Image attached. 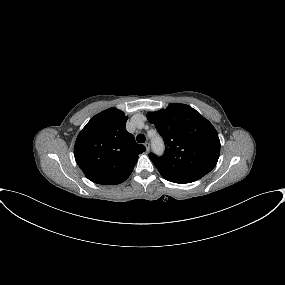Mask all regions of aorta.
I'll return each instance as SVG.
<instances>
[{
	"mask_svg": "<svg viewBox=\"0 0 285 285\" xmlns=\"http://www.w3.org/2000/svg\"><path fill=\"white\" fill-rule=\"evenodd\" d=\"M153 149L156 153L160 154L163 151V142L159 136L152 139Z\"/></svg>",
	"mask_w": 285,
	"mask_h": 285,
	"instance_id": "obj_1",
	"label": "aorta"
}]
</instances>
